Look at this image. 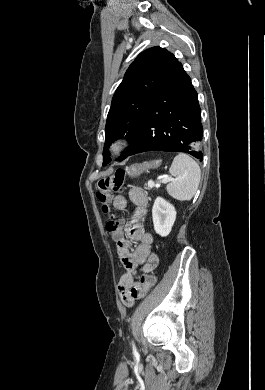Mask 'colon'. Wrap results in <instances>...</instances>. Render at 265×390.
<instances>
[{"mask_svg":"<svg viewBox=\"0 0 265 390\" xmlns=\"http://www.w3.org/2000/svg\"><path fill=\"white\" fill-rule=\"evenodd\" d=\"M125 172L117 170L113 175L100 179L96 184V196L102 203V210L105 213L110 212L109 199L112 193L118 191L124 182ZM106 230L108 234L116 241L121 238L123 224L115 215L109 214ZM142 294L145 295L155 284V277L151 274L142 276L141 280Z\"/></svg>","mask_w":265,"mask_h":390,"instance_id":"obj_1","label":"colon"}]
</instances>
